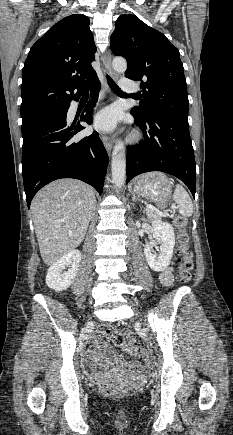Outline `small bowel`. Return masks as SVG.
I'll return each mask as SVG.
<instances>
[{"mask_svg": "<svg viewBox=\"0 0 233 435\" xmlns=\"http://www.w3.org/2000/svg\"><path fill=\"white\" fill-rule=\"evenodd\" d=\"M160 282L163 286L169 287L173 284V274L170 267L164 269L160 274ZM127 353L134 360L131 362L123 361L117 354L116 350L110 346H107L103 342H98L92 349L90 355L86 357V360L92 364L94 372L101 374L102 370L105 371H135L143 373L146 367L143 363L137 360L136 348L131 345L124 346ZM102 360L110 361L109 364H102Z\"/></svg>", "mask_w": 233, "mask_h": 435, "instance_id": "obj_1", "label": "small bowel"}]
</instances>
